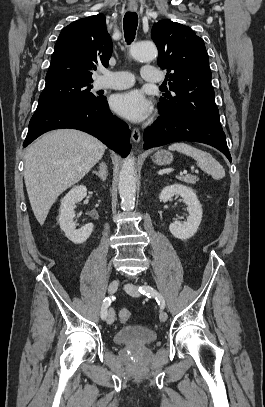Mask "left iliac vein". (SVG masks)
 <instances>
[{
	"label": "left iliac vein",
	"instance_id": "4c4485c4",
	"mask_svg": "<svg viewBox=\"0 0 265 407\" xmlns=\"http://www.w3.org/2000/svg\"><path fill=\"white\" fill-rule=\"evenodd\" d=\"M124 288L126 292L133 297H138L140 295L137 286L133 284L128 283L125 285ZM159 319L161 322H165L168 319V314L164 310H161L159 314Z\"/></svg>",
	"mask_w": 265,
	"mask_h": 407
}]
</instances>
